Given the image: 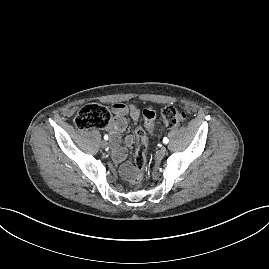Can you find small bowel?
I'll use <instances>...</instances> for the list:
<instances>
[{
	"instance_id": "small-bowel-1",
	"label": "small bowel",
	"mask_w": 269,
	"mask_h": 269,
	"mask_svg": "<svg viewBox=\"0 0 269 269\" xmlns=\"http://www.w3.org/2000/svg\"><path fill=\"white\" fill-rule=\"evenodd\" d=\"M112 110L114 118L108 128L111 139V151L114 162L120 164L127 156L126 148L121 147V134L127 127L126 117L129 115L131 120L136 123L140 117L141 111L135 105H126L124 103H115L112 106ZM125 143L128 147L132 146L134 144V137L132 135H127L125 137ZM134 170L135 169L131 164H123L121 166V175L124 179L130 181Z\"/></svg>"
}]
</instances>
